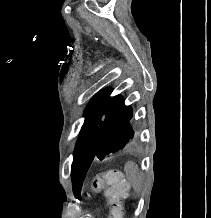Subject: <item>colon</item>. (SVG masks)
Instances as JSON below:
<instances>
[{"label": "colon", "mask_w": 211, "mask_h": 218, "mask_svg": "<svg viewBox=\"0 0 211 218\" xmlns=\"http://www.w3.org/2000/svg\"><path fill=\"white\" fill-rule=\"evenodd\" d=\"M92 190L104 192L109 204L107 218H123V202L128 196L129 185L120 170L110 169L95 175Z\"/></svg>", "instance_id": "obj_1"}]
</instances>
